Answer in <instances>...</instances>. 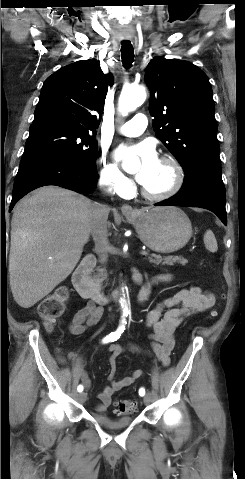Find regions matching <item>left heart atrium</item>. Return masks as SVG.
Here are the masks:
<instances>
[{
  "label": "left heart atrium",
  "mask_w": 245,
  "mask_h": 479,
  "mask_svg": "<svg viewBox=\"0 0 245 479\" xmlns=\"http://www.w3.org/2000/svg\"><path fill=\"white\" fill-rule=\"evenodd\" d=\"M127 155H134L139 159L140 167L136 174V180L144 185L159 162L154 148L149 143L144 142L132 147H120L115 153L119 160Z\"/></svg>",
  "instance_id": "obj_1"
}]
</instances>
